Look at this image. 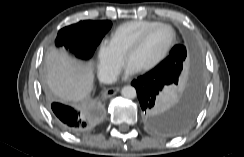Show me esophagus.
Instances as JSON below:
<instances>
[{
    "mask_svg": "<svg viewBox=\"0 0 244 157\" xmlns=\"http://www.w3.org/2000/svg\"><path fill=\"white\" fill-rule=\"evenodd\" d=\"M120 91V87H115V88H109L105 92L106 97H112L116 95Z\"/></svg>",
    "mask_w": 244,
    "mask_h": 157,
    "instance_id": "obj_1",
    "label": "esophagus"
}]
</instances>
